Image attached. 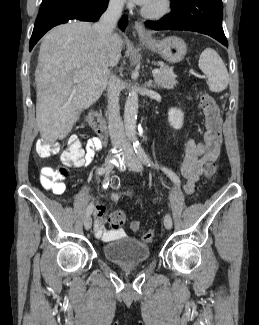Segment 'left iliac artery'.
Wrapping results in <instances>:
<instances>
[{
	"mask_svg": "<svg viewBox=\"0 0 259 325\" xmlns=\"http://www.w3.org/2000/svg\"><path fill=\"white\" fill-rule=\"evenodd\" d=\"M135 153L137 154L138 158L147 166L149 167H159L158 164H154L148 155L146 154L145 150L142 148L138 141L133 143ZM161 170L177 185L180 184V180L178 176L170 169L161 166Z\"/></svg>",
	"mask_w": 259,
	"mask_h": 325,
	"instance_id": "obj_1",
	"label": "left iliac artery"
}]
</instances>
